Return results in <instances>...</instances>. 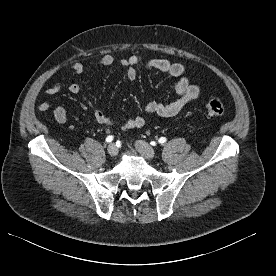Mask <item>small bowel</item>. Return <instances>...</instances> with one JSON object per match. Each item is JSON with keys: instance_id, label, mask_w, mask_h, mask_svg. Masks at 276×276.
Instances as JSON below:
<instances>
[{"instance_id": "c3829d8e", "label": "small bowel", "mask_w": 276, "mask_h": 276, "mask_svg": "<svg viewBox=\"0 0 276 276\" xmlns=\"http://www.w3.org/2000/svg\"><path fill=\"white\" fill-rule=\"evenodd\" d=\"M144 61V58L139 55H133L123 58L120 61V67L126 70V77L129 81H134L137 78V65ZM114 63V57L110 54L103 55L99 60L93 62V66L108 67ZM70 68L75 74H80L84 70L81 63H73ZM145 68L147 70H158L168 73L172 77L179 78L174 85L175 92L179 95L174 101L171 102H149L145 110L147 113L156 114L163 117H172L177 115L183 108L194 101L200 92L199 86L190 84L188 78L185 76V67L180 63H172L167 59H149L145 61ZM62 83L56 82L49 85L45 92L48 95H54L61 90ZM72 94H79L81 87L78 83H72L68 87ZM89 107L91 108L95 120L105 126H110L114 120L109 115L105 114L102 110L98 109L92 102L84 98ZM38 110L45 112L50 108L47 101L40 102L37 106ZM53 115L58 123H65L68 119L67 112L63 106H56L53 110ZM145 125V119L142 116H133L129 118L122 126V130L140 129Z\"/></svg>"}]
</instances>
